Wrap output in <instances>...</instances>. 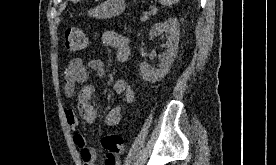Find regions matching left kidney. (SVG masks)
<instances>
[{"label": "left kidney", "mask_w": 276, "mask_h": 165, "mask_svg": "<svg viewBox=\"0 0 276 165\" xmlns=\"http://www.w3.org/2000/svg\"><path fill=\"white\" fill-rule=\"evenodd\" d=\"M179 22L177 18H169L164 22L156 23L149 31V36L153 37L158 33H167V42L163 45L166 48V52L161 59V63L158 69H155L147 62L140 64V73L145 81L155 83L156 81L164 78L168 74L174 59L178 52L179 43Z\"/></svg>", "instance_id": "5707ae66"}]
</instances>
